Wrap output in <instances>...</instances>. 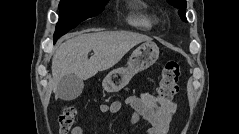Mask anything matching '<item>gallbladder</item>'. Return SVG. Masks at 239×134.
Listing matches in <instances>:
<instances>
[{
	"mask_svg": "<svg viewBox=\"0 0 239 134\" xmlns=\"http://www.w3.org/2000/svg\"><path fill=\"white\" fill-rule=\"evenodd\" d=\"M84 82L74 74H69L61 78L59 81L56 94L64 101L76 99L83 90Z\"/></svg>",
	"mask_w": 239,
	"mask_h": 134,
	"instance_id": "1",
	"label": "gallbladder"
}]
</instances>
